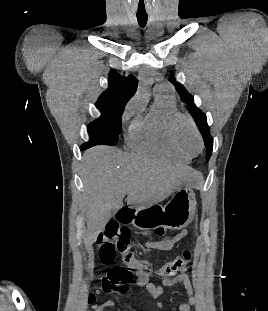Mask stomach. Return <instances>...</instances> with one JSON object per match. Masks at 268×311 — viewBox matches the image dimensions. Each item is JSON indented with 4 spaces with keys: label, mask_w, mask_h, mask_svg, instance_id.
Here are the masks:
<instances>
[{
    "label": "stomach",
    "mask_w": 268,
    "mask_h": 311,
    "mask_svg": "<svg viewBox=\"0 0 268 311\" xmlns=\"http://www.w3.org/2000/svg\"><path fill=\"white\" fill-rule=\"evenodd\" d=\"M157 206H138L131 223L140 230H154L159 227L183 229L193 220L195 194L191 187L182 185L174 192L166 208Z\"/></svg>",
    "instance_id": "1"
}]
</instances>
